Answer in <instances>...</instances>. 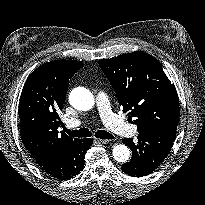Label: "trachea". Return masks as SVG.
I'll list each match as a JSON object with an SVG mask.
<instances>
[{"label":"trachea","mask_w":205,"mask_h":205,"mask_svg":"<svg viewBox=\"0 0 205 205\" xmlns=\"http://www.w3.org/2000/svg\"><path fill=\"white\" fill-rule=\"evenodd\" d=\"M64 131L71 137H90L92 136L91 131H89L87 128H81L79 130H69L65 128ZM95 137L100 138V139H113L114 138L113 135H111L109 132L105 130H98L95 133Z\"/></svg>","instance_id":"trachea-1"}]
</instances>
